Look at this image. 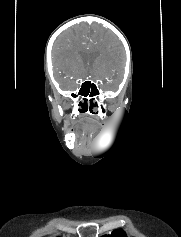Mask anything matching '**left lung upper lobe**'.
Listing matches in <instances>:
<instances>
[{
  "label": "left lung upper lobe",
  "mask_w": 181,
  "mask_h": 237,
  "mask_svg": "<svg viewBox=\"0 0 181 237\" xmlns=\"http://www.w3.org/2000/svg\"><path fill=\"white\" fill-rule=\"evenodd\" d=\"M102 237H127L126 233L122 229L113 231L110 235H104Z\"/></svg>",
  "instance_id": "5c2ea615"
}]
</instances>
